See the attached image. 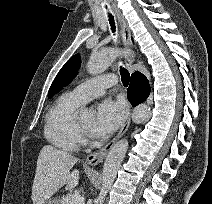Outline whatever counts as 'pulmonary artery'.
Here are the masks:
<instances>
[{
  "mask_svg": "<svg viewBox=\"0 0 212 204\" xmlns=\"http://www.w3.org/2000/svg\"><path fill=\"white\" fill-rule=\"evenodd\" d=\"M115 84L116 77L114 75L98 76L79 84L71 91V94L76 100L84 104L103 95L108 88Z\"/></svg>",
  "mask_w": 212,
  "mask_h": 204,
  "instance_id": "e3ab8cb5",
  "label": "pulmonary artery"
}]
</instances>
